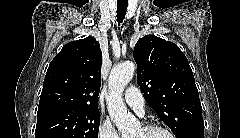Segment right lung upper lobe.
<instances>
[{"label": "right lung upper lobe", "instance_id": "cb5924a9", "mask_svg": "<svg viewBox=\"0 0 240 138\" xmlns=\"http://www.w3.org/2000/svg\"><path fill=\"white\" fill-rule=\"evenodd\" d=\"M102 52L93 37L67 43L51 61L37 114L55 110H98Z\"/></svg>", "mask_w": 240, "mask_h": 138}]
</instances>
